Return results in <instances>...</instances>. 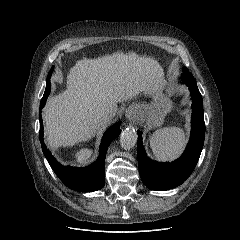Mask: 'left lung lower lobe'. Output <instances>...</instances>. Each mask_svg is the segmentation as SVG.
I'll use <instances>...</instances> for the list:
<instances>
[{"label":"left lung lower lobe","instance_id":"obj_1","mask_svg":"<svg viewBox=\"0 0 240 240\" xmlns=\"http://www.w3.org/2000/svg\"><path fill=\"white\" fill-rule=\"evenodd\" d=\"M181 79L189 87L193 110L190 140L183 154L171 163L151 161L146 155L142 136L138 131L137 156L139 172L143 183L152 190H168L181 185L193 172L203 148L205 123L202 96L191 73L184 72Z\"/></svg>","mask_w":240,"mask_h":240}]
</instances>
